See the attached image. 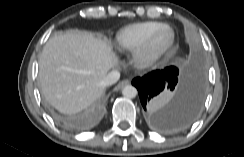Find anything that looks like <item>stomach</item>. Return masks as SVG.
Wrapping results in <instances>:
<instances>
[{"instance_id":"obj_1","label":"stomach","mask_w":244,"mask_h":157,"mask_svg":"<svg viewBox=\"0 0 244 157\" xmlns=\"http://www.w3.org/2000/svg\"><path fill=\"white\" fill-rule=\"evenodd\" d=\"M170 58H171V55H170V53H169V54H167V56H166V58H165V62H168V61L170 60Z\"/></svg>"}]
</instances>
